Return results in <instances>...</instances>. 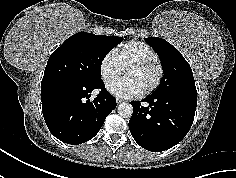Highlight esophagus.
Masks as SVG:
<instances>
[{
    "label": "esophagus",
    "mask_w": 236,
    "mask_h": 178,
    "mask_svg": "<svg viewBox=\"0 0 236 178\" xmlns=\"http://www.w3.org/2000/svg\"><path fill=\"white\" fill-rule=\"evenodd\" d=\"M116 102H117V104H120L121 102H123V100H122V99H119V98H117V99H116Z\"/></svg>",
    "instance_id": "1"
}]
</instances>
